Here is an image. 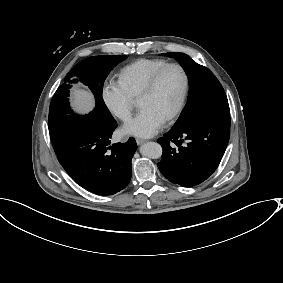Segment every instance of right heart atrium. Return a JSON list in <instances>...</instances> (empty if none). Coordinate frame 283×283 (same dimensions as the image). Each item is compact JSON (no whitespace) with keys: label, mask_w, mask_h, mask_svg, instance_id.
Wrapping results in <instances>:
<instances>
[{"label":"right heart atrium","mask_w":283,"mask_h":283,"mask_svg":"<svg viewBox=\"0 0 283 283\" xmlns=\"http://www.w3.org/2000/svg\"><path fill=\"white\" fill-rule=\"evenodd\" d=\"M101 96L105 106L113 116L123 122L130 119L134 100L119 80L113 78L105 80L101 88Z\"/></svg>","instance_id":"d8ad5b80"}]
</instances>
